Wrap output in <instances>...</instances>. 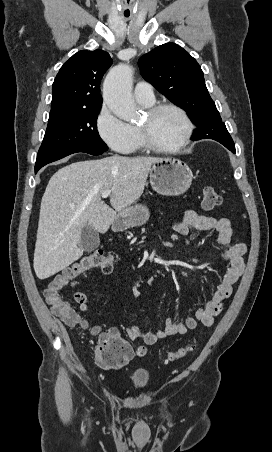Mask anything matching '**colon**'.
Here are the masks:
<instances>
[{"instance_id":"colon-1","label":"colon","mask_w":272,"mask_h":452,"mask_svg":"<svg viewBox=\"0 0 272 452\" xmlns=\"http://www.w3.org/2000/svg\"><path fill=\"white\" fill-rule=\"evenodd\" d=\"M222 203V196L213 187H205L202 191V207L205 210H213ZM114 269L113 258L100 252H93L82 256L73 262L51 281L44 291V297L56 316L70 315L72 308L61 297V291L80 276L91 270H98L103 275H110ZM194 349V345L182 347L169 353L167 362H174L185 358ZM134 353L142 356L146 353L143 346H138ZM130 358V349L126 342L119 337L101 335L94 353L96 364L104 369H119Z\"/></svg>"}]
</instances>
